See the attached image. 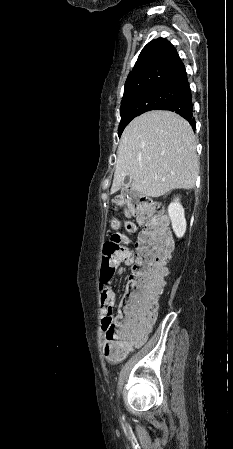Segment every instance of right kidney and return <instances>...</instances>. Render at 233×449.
Listing matches in <instances>:
<instances>
[{
	"instance_id": "ca27d5eb",
	"label": "right kidney",
	"mask_w": 233,
	"mask_h": 449,
	"mask_svg": "<svg viewBox=\"0 0 233 449\" xmlns=\"http://www.w3.org/2000/svg\"><path fill=\"white\" fill-rule=\"evenodd\" d=\"M168 214L172 222V228L178 238L183 237L186 231V219L184 215V209L179 202V199L176 198L169 206H168Z\"/></svg>"
}]
</instances>
